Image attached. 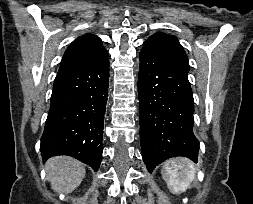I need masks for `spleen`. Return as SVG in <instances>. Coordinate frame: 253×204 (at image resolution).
<instances>
[{"label": "spleen", "mask_w": 253, "mask_h": 204, "mask_svg": "<svg viewBox=\"0 0 253 204\" xmlns=\"http://www.w3.org/2000/svg\"><path fill=\"white\" fill-rule=\"evenodd\" d=\"M161 174L172 192L181 193L186 191L195 179L196 168L191 160L176 157L163 164Z\"/></svg>", "instance_id": "3e777b00"}]
</instances>
